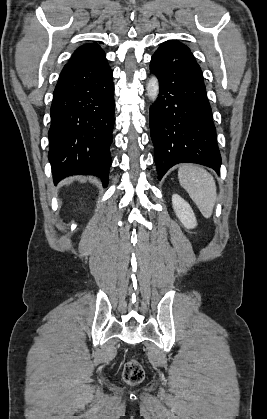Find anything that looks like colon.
Masks as SVG:
<instances>
[{
    "mask_svg": "<svg viewBox=\"0 0 267 419\" xmlns=\"http://www.w3.org/2000/svg\"><path fill=\"white\" fill-rule=\"evenodd\" d=\"M145 372L142 365L134 359L126 362L123 369V379L130 385H137L144 379Z\"/></svg>",
    "mask_w": 267,
    "mask_h": 419,
    "instance_id": "obj_1",
    "label": "colon"
}]
</instances>
